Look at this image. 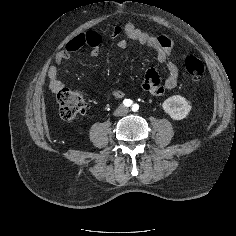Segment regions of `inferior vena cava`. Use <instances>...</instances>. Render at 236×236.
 <instances>
[{"label":"inferior vena cava","mask_w":236,"mask_h":236,"mask_svg":"<svg viewBox=\"0 0 236 236\" xmlns=\"http://www.w3.org/2000/svg\"><path fill=\"white\" fill-rule=\"evenodd\" d=\"M127 112H128V109H127L126 107L122 106V107L120 108V110H118V111L116 112V115H125V114H127Z\"/></svg>","instance_id":"obj_1"}]
</instances>
